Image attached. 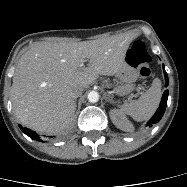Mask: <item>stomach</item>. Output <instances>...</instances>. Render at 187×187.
I'll use <instances>...</instances> for the list:
<instances>
[{
    "mask_svg": "<svg viewBox=\"0 0 187 187\" xmlns=\"http://www.w3.org/2000/svg\"><path fill=\"white\" fill-rule=\"evenodd\" d=\"M119 85L115 86L114 92L117 95L125 96L131 93L135 88V82L139 78L138 70L127 64L116 74Z\"/></svg>",
    "mask_w": 187,
    "mask_h": 187,
    "instance_id": "1",
    "label": "stomach"
}]
</instances>
